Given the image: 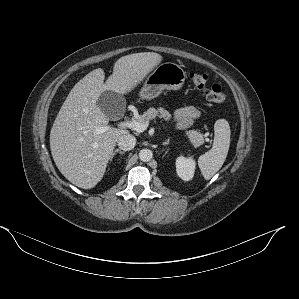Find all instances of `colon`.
I'll return each mask as SVG.
<instances>
[{"label":"colon","instance_id":"colon-1","mask_svg":"<svg viewBox=\"0 0 299 299\" xmlns=\"http://www.w3.org/2000/svg\"><path fill=\"white\" fill-rule=\"evenodd\" d=\"M191 83L198 89L202 90L206 98L214 103H224L228 100L226 90L212 81L208 75L201 71H195L189 75Z\"/></svg>","mask_w":299,"mask_h":299}]
</instances>
